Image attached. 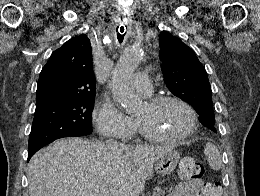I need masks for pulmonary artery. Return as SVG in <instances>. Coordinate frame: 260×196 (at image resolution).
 I'll list each match as a JSON object with an SVG mask.
<instances>
[{
	"label": "pulmonary artery",
	"mask_w": 260,
	"mask_h": 196,
	"mask_svg": "<svg viewBox=\"0 0 260 196\" xmlns=\"http://www.w3.org/2000/svg\"><path fill=\"white\" fill-rule=\"evenodd\" d=\"M128 83L132 84V90H136L144 96L152 93L151 76H147V72H136V79H129Z\"/></svg>",
	"instance_id": "e3ab8cb5"
}]
</instances>
